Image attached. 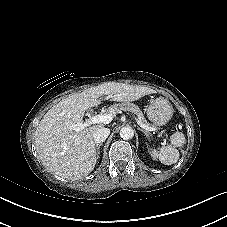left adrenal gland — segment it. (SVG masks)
<instances>
[{
	"mask_svg": "<svg viewBox=\"0 0 227 227\" xmlns=\"http://www.w3.org/2000/svg\"><path fill=\"white\" fill-rule=\"evenodd\" d=\"M138 129H139L141 132H143L147 138H150V133H149L147 130H143V129H141V128H138Z\"/></svg>",
	"mask_w": 227,
	"mask_h": 227,
	"instance_id": "1",
	"label": "left adrenal gland"
}]
</instances>
